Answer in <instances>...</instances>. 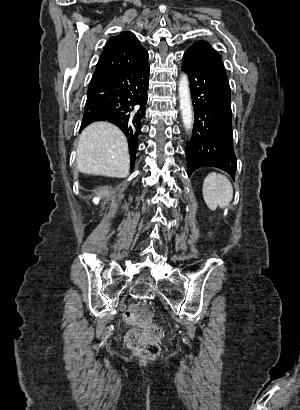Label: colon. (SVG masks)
I'll return each mask as SVG.
<instances>
[{"label": "colon", "mask_w": 300, "mask_h": 410, "mask_svg": "<svg viewBox=\"0 0 300 410\" xmlns=\"http://www.w3.org/2000/svg\"><path fill=\"white\" fill-rule=\"evenodd\" d=\"M131 329L126 337L127 345L145 359H153L160 353V328L151 320L149 309L143 304L131 305L125 312Z\"/></svg>", "instance_id": "obj_1"}]
</instances>
